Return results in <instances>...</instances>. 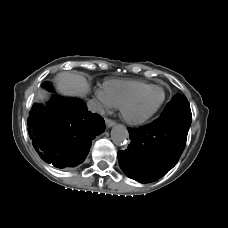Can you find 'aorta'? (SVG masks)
Instances as JSON below:
<instances>
[{
    "label": "aorta",
    "instance_id": "obj_1",
    "mask_svg": "<svg viewBox=\"0 0 228 228\" xmlns=\"http://www.w3.org/2000/svg\"><path fill=\"white\" fill-rule=\"evenodd\" d=\"M129 133L125 126L121 124L115 125L111 130V139L117 146H124L127 144Z\"/></svg>",
    "mask_w": 228,
    "mask_h": 228
}]
</instances>
